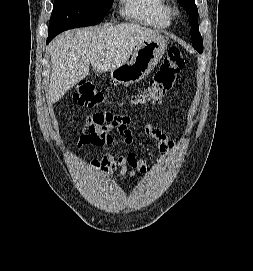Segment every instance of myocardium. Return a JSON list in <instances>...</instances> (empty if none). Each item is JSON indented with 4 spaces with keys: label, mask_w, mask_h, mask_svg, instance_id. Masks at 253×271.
Masks as SVG:
<instances>
[{
    "label": "myocardium",
    "mask_w": 253,
    "mask_h": 271,
    "mask_svg": "<svg viewBox=\"0 0 253 271\" xmlns=\"http://www.w3.org/2000/svg\"><path fill=\"white\" fill-rule=\"evenodd\" d=\"M170 13L177 15L179 13V10L176 7L170 8Z\"/></svg>",
    "instance_id": "1"
}]
</instances>
